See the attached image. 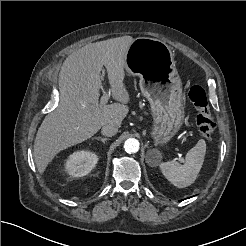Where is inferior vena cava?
I'll return each mask as SVG.
<instances>
[{"instance_id": "602c4592", "label": "inferior vena cava", "mask_w": 246, "mask_h": 246, "mask_svg": "<svg viewBox=\"0 0 246 246\" xmlns=\"http://www.w3.org/2000/svg\"><path fill=\"white\" fill-rule=\"evenodd\" d=\"M117 132H118V128L110 124L104 125L101 130L102 135L107 136V137H112L116 135Z\"/></svg>"}]
</instances>
